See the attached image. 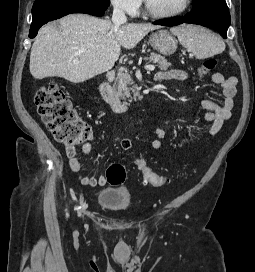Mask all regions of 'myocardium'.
Wrapping results in <instances>:
<instances>
[{
  "label": "myocardium",
  "instance_id": "f54148a6",
  "mask_svg": "<svg viewBox=\"0 0 255 272\" xmlns=\"http://www.w3.org/2000/svg\"><path fill=\"white\" fill-rule=\"evenodd\" d=\"M143 1H144L145 13L148 16L152 18H156V19H167V18H173V17L179 16L183 14L185 11H187V9L190 7L192 3V0H185L184 5L178 10H175L172 12H156L150 8L148 0H143Z\"/></svg>",
  "mask_w": 255,
  "mask_h": 272
}]
</instances>
